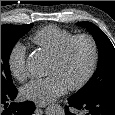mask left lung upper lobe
Wrapping results in <instances>:
<instances>
[{
    "label": "left lung upper lobe",
    "instance_id": "5c2ea615",
    "mask_svg": "<svg viewBox=\"0 0 115 115\" xmlns=\"http://www.w3.org/2000/svg\"><path fill=\"white\" fill-rule=\"evenodd\" d=\"M79 26L86 27L98 46V65L91 79L72 97L85 100L99 95H115V49L105 35L91 22H79Z\"/></svg>",
    "mask_w": 115,
    "mask_h": 115
}]
</instances>
